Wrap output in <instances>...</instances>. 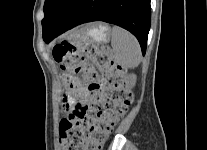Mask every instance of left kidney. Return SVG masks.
Returning <instances> with one entry per match:
<instances>
[{
    "label": "left kidney",
    "instance_id": "1",
    "mask_svg": "<svg viewBox=\"0 0 207 150\" xmlns=\"http://www.w3.org/2000/svg\"><path fill=\"white\" fill-rule=\"evenodd\" d=\"M136 82V76L135 75H131L127 80L126 83L130 86L133 87L135 85Z\"/></svg>",
    "mask_w": 207,
    "mask_h": 150
}]
</instances>
